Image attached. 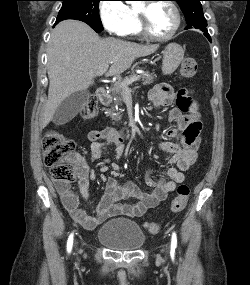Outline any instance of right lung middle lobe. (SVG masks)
<instances>
[{
  "label": "right lung middle lobe",
  "instance_id": "1",
  "mask_svg": "<svg viewBox=\"0 0 250 285\" xmlns=\"http://www.w3.org/2000/svg\"><path fill=\"white\" fill-rule=\"evenodd\" d=\"M62 7L58 13L56 23L65 19H75L87 23L96 32L103 30L99 16V2L101 0H61Z\"/></svg>",
  "mask_w": 250,
  "mask_h": 285
}]
</instances>
